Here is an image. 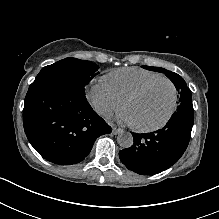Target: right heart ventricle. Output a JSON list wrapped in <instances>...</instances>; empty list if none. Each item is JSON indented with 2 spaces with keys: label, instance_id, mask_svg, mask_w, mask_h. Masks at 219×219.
I'll return each instance as SVG.
<instances>
[{
  "label": "right heart ventricle",
  "instance_id": "e07e8e85",
  "mask_svg": "<svg viewBox=\"0 0 219 219\" xmlns=\"http://www.w3.org/2000/svg\"><path fill=\"white\" fill-rule=\"evenodd\" d=\"M162 77L159 73L136 68L126 67L109 72L103 80L106 81L113 94L120 101L144 83Z\"/></svg>",
  "mask_w": 219,
  "mask_h": 219
}]
</instances>
